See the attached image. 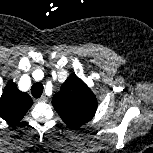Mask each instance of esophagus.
I'll use <instances>...</instances> for the list:
<instances>
[{"label": "esophagus", "instance_id": "esophagus-1", "mask_svg": "<svg viewBox=\"0 0 153 153\" xmlns=\"http://www.w3.org/2000/svg\"><path fill=\"white\" fill-rule=\"evenodd\" d=\"M48 98L45 95H42L39 99H37L38 102H47Z\"/></svg>", "mask_w": 153, "mask_h": 153}]
</instances>
